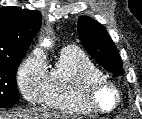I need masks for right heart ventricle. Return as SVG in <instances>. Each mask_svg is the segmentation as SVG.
<instances>
[{
    "instance_id": "e07e8e85",
    "label": "right heart ventricle",
    "mask_w": 142,
    "mask_h": 119,
    "mask_svg": "<svg viewBox=\"0 0 142 119\" xmlns=\"http://www.w3.org/2000/svg\"><path fill=\"white\" fill-rule=\"evenodd\" d=\"M105 78L103 72L78 47H65L44 83L42 102L49 108L77 115H89L94 111L83 98L87 84Z\"/></svg>"
}]
</instances>
